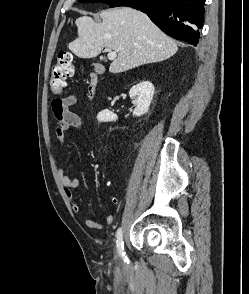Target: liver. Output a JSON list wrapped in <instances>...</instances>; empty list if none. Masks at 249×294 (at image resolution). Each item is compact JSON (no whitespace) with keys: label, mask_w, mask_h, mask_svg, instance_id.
Masks as SVG:
<instances>
[{"label":"liver","mask_w":249,"mask_h":294,"mask_svg":"<svg viewBox=\"0 0 249 294\" xmlns=\"http://www.w3.org/2000/svg\"><path fill=\"white\" fill-rule=\"evenodd\" d=\"M100 17V23L85 15L76 19L78 37L68 48L84 59L97 57L104 47L114 50L118 56L109 67L111 73L160 62L178 51L176 43L141 11L118 7L102 11Z\"/></svg>","instance_id":"liver-1"}]
</instances>
